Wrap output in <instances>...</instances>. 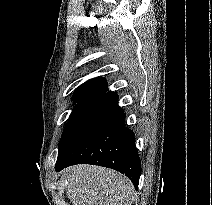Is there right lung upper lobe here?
<instances>
[{
	"mask_svg": "<svg viewBox=\"0 0 212 205\" xmlns=\"http://www.w3.org/2000/svg\"><path fill=\"white\" fill-rule=\"evenodd\" d=\"M106 85V80H104L103 78L93 79L81 85V87L78 88L74 93L72 99L75 101L90 97H101L108 90Z\"/></svg>",
	"mask_w": 212,
	"mask_h": 205,
	"instance_id": "cb5924a9",
	"label": "right lung upper lobe"
}]
</instances>
